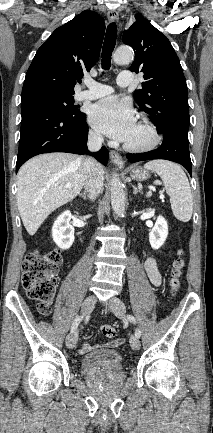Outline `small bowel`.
<instances>
[{
  "instance_id": "small-bowel-1",
  "label": "small bowel",
  "mask_w": 213,
  "mask_h": 433,
  "mask_svg": "<svg viewBox=\"0 0 213 433\" xmlns=\"http://www.w3.org/2000/svg\"><path fill=\"white\" fill-rule=\"evenodd\" d=\"M146 273L149 280L154 286H160L162 283V275L156 260L153 257H148L144 263ZM124 340L122 338H117L106 344L107 347H118L122 345ZM94 347L88 342H85L83 346L79 349L80 354H85L91 351Z\"/></svg>"
}]
</instances>
